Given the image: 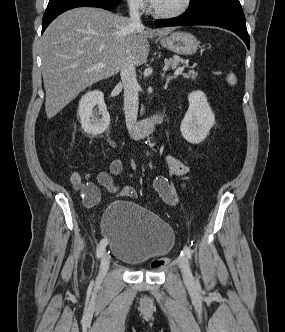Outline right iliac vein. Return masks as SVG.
Instances as JSON below:
<instances>
[{"mask_svg":"<svg viewBox=\"0 0 285 332\" xmlns=\"http://www.w3.org/2000/svg\"><path fill=\"white\" fill-rule=\"evenodd\" d=\"M109 265H110V258L108 256V254L106 252H104L102 254L101 262H100L99 276L101 279L106 275Z\"/></svg>","mask_w":285,"mask_h":332,"instance_id":"63e3f726","label":"right iliac vein"}]
</instances>
